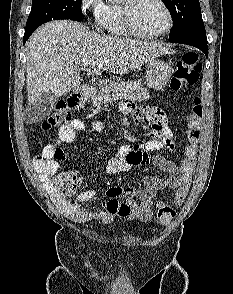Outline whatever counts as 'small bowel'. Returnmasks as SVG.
Listing matches in <instances>:
<instances>
[{"instance_id":"c3829d8e","label":"small bowel","mask_w":233,"mask_h":294,"mask_svg":"<svg viewBox=\"0 0 233 294\" xmlns=\"http://www.w3.org/2000/svg\"><path fill=\"white\" fill-rule=\"evenodd\" d=\"M139 106L140 108H136L131 102L124 101L121 103L120 110L123 114L131 115L135 122H139L145 117L151 125L150 140L142 145H123L109 158L107 171L110 174H118L135 165L151 162L166 176L164 178L147 176L143 179V188L140 189L134 186L110 187L107 190L109 199L103 204V211L87 205L95 197L96 193L93 190H85L75 199L69 200L58 191L55 179L52 177L58 171L60 162L66 158L59 145L71 144L78 133L87 129L85 122L74 119L68 125L60 128L56 143L46 145L43 149L44 159L36 162L37 172L42 178L46 190L57 208L67 218L77 223L92 219L109 223L119 216L148 222L153 217L152 205L156 193L162 189H174L178 186L179 168L177 165L160 154L155 155L152 160L148 156L151 152L161 150L174 151L173 132L167 124L166 115L161 109L151 107V103H140ZM93 128L101 131L104 129V124L100 121L94 122ZM119 198H124L125 201L120 202ZM121 205L128 207L129 211L122 213L120 211Z\"/></svg>"}]
</instances>
